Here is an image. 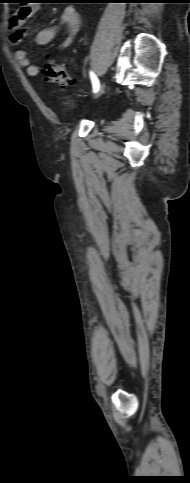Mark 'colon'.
Masks as SVG:
<instances>
[{"instance_id":"1","label":"colon","mask_w":190,"mask_h":483,"mask_svg":"<svg viewBox=\"0 0 190 483\" xmlns=\"http://www.w3.org/2000/svg\"><path fill=\"white\" fill-rule=\"evenodd\" d=\"M42 77L47 82L58 83L63 86L70 85L73 82L72 77L64 68L54 62H48L43 66Z\"/></svg>"}]
</instances>
